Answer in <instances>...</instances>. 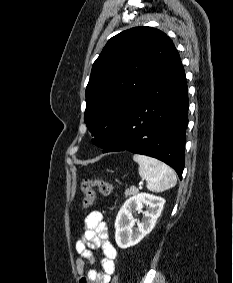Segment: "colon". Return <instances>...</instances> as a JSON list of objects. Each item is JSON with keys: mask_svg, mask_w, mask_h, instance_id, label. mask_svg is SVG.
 <instances>
[{"mask_svg": "<svg viewBox=\"0 0 233 283\" xmlns=\"http://www.w3.org/2000/svg\"><path fill=\"white\" fill-rule=\"evenodd\" d=\"M82 198V208H89L95 199V190H98L103 195H109L114 190V185L104 179L84 178L80 185ZM111 283H118L117 276L114 275Z\"/></svg>", "mask_w": 233, "mask_h": 283, "instance_id": "1", "label": "colon"}]
</instances>
